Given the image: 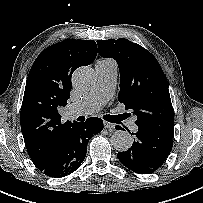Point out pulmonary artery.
I'll return each instance as SVG.
<instances>
[{"instance_id": "pulmonary-artery-1", "label": "pulmonary artery", "mask_w": 203, "mask_h": 203, "mask_svg": "<svg viewBox=\"0 0 203 203\" xmlns=\"http://www.w3.org/2000/svg\"><path fill=\"white\" fill-rule=\"evenodd\" d=\"M98 82L86 99L69 107V115H89L100 110L112 97L117 80V68L113 62L99 61L95 66ZM130 129L133 132L138 130L135 120L130 121Z\"/></svg>"}]
</instances>
